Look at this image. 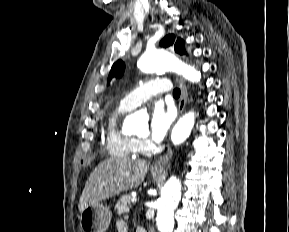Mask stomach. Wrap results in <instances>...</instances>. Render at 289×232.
Returning <instances> with one entry per match:
<instances>
[{
  "label": "stomach",
  "mask_w": 289,
  "mask_h": 232,
  "mask_svg": "<svg viewBox=\"0 0 289 232\" xmlns=\"http://www.w3.org/2000/svg\"><path fill=\"white\" fill-rule=\"evenodd\" d=\"M153 175H159L153 171ZM80 227L83 232H105L111 221V212L102 202L89 205L80 213Z\"/></svg>",
  "instance_id": "0dacf381"
}]
</instances>
